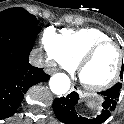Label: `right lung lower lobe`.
Masks as SVG:
<instances>
[{
    "mask_svg": "<svg viewBox=\"0 0 124 124\" xmlns=\"http://www.w3.org/2000/svg\"><path fill=\"white\" fill-rule=\"evenodd\" d=\"M40 31L39 26L0 29V120L16 112L31 86L50 78L43 68L29 63Z\"/></svg>",
    "mask_w": 124,
    "mask_h": 124,
    "instance_id": "obj_1",
    "label": "right lung lower lobe"
}]
</instances>
